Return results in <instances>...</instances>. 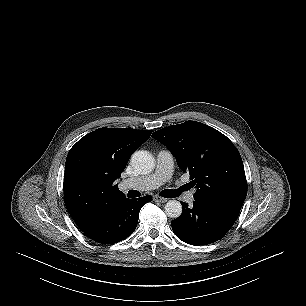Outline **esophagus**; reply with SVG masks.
Returning a JSON list of instances; mask_svg holds the SVG:
<instances>
[{"instance_id": "1", "label": "esophagus", "mask_w": 306, "mask_h": 306, "mask_svg": "<svg viewBox=\"0 0 306 306\" xmlns=\"http://www.w3.org/2000/svg\"><path fill=\"white\" fill-rule=\"evenodd\" d=\"M153 201L155 202H159V203H165L167 202V199L166 198H163V197H160V196H153Z\"/></svg>"}]
</instances>
